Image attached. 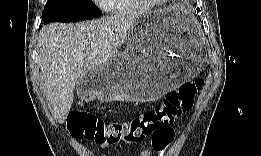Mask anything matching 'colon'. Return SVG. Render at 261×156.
<instances>
[{"label":"colon","mask_w":261,"mask_h":156,"mask_svg":"<svg viewBox=\"0 0 261 156\" xmlns=\"http://www.w3.org/2000/svg\"><path fill=\"white\" fill-rule=\"evenodd\" d=\"M203 81L185 82L169 92L164 101L126 122H106L86 111H74L68 121L70 133L78 138L92 139L99 144L138 143L147 137L157 151L164 150L173 140L171 124L192 108Z\"/></svg>","instance_id":"obj_1"}]
</instances>
